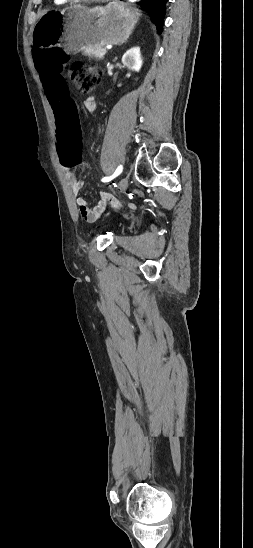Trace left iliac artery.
<instances>
[{
    "label": "left iliac artery",
    "mask_w": 253,
    "mask_h": 548,
    "mask_svg": "<svg viewBox=\"0 0 253 548\" xmlns=\"http://www.w3.org/2000/svg\"><path fill=\"white\" fill-rule=\"evenodd\" d=\"M121 171H122V166H119V167L116 169V171L114 172L113 175H111V176H109V177H104V178H102V181H103V182H108V181L112 180L114 177H116L117 175H119V174L121 173Z\"/></svg>",
    "instance_id": "44dca946"
}]
</instances>
